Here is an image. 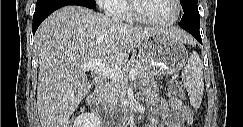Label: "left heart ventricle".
I'll use <instances>...</instances> for the list:
<instances>
[{
	"label": "left heart ventricle",
	"instance_id": "b2bd125f",
	"mask_svg": "<svg viewBox=\"0 0 243 127\" xmlns=\"http://www.w3.org/2000/svg\"><path fill=\"white\" fill-rule=\"evenodd\" d=\"M139 8L146 17L160 21L169 20L176 13L172 0H140Z\"/></svg>",
	"mask_w": 243,
	"mask_h": 127
}]
</instances>
